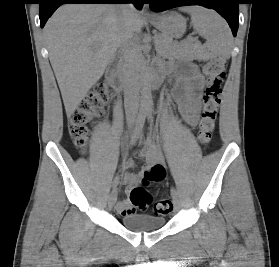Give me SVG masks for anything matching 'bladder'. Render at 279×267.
Instances as JSON below:
<instances>
[{
    "mask_svg": "<svg viewBox=\"0 0 279 267\" xmlns=\"http://www.w3.org/2000/svg\"><path fill=\"white\" fill-rule=\"evenodd\" d=\"M122 225L131 231L151 232L161 229L165 224L162 217H154L145 214H128L121 217Z\"/></svg>",
    "mask_w": 279,
    "mask_h": 267,
    "instance_id": "obj_1",
    "label": "bladder"
}]
</instances>
